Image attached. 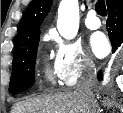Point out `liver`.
<instances>
[{
    "instance_id": "liver-1",
    "label": "liver",
    "mask_w": 123,
    "mask_h": 113,
    "mask_svg": "<svg viewBox=\"0 0 123 113\" xmlns=\"http://www.w3.org/2000/svg\"><path fill=\"white\" fill-rule=\"evenodd\" d=\"M89 105L76 92L36 96L14 106L13 113H88Z\"/></svg>"
}]
</instances>
